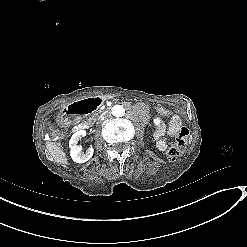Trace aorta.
I'll return each instance as SVG.
<instances>
[{"mask_svg": "<svg viewBox=\"0 0 247 247\" xmlns=\"http://www.w3.org/2000/svg\"><path fill=\"white\" fill-rule=\"evenodd\" d=\"M111 113L114 117H122L125 114V109L122 105L112 107Z\"/></svg>", "mask_w": 247, "mask_h": 247, "instance_id": "aorta-1", "label": "aorta"}]
</instances>
